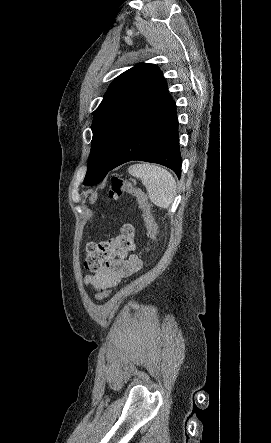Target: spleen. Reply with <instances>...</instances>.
Instances as JSON below:
<instances>
[{"label":"spleen","instance_id":"1","mask_svg":"<svg viewBox=\"0 0 271 443\" xmlns=\"http://www.w3.org/2000/svg\"><path fill=\"white\" fill-rule=\"evenodd\" d=\"M134 178H141L148 198L159 208H169L174 200L176 182L167 170L151 164H134L128 168Z\"/></svg>","mask_w":271,"mask_h":443}]
</instances>
